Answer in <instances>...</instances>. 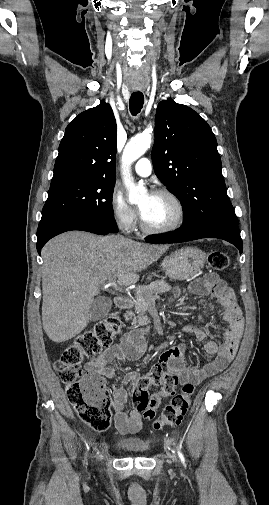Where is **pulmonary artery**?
I'll return each instance as SVG.
<instances>
[{
	"mask_svg": "<svg viewBox=\"0 0 269 505\" xmlns=\"http://www.w3.org/2000/svg\"><path fill=\"white\" fill-rule=\"evenodd\" d=\"M134 171L141 177L149 176L152 172L151 161L148 158L139 159L134 166Z\"/></svg>",
	"mask_w": 269,
	"mask_h": 505,
	"instance_id": "obj_1",
	"label": "pulmonary artery"
}]
</instances>
